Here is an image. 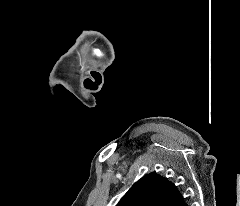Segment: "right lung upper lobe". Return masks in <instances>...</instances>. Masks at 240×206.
I'll return each instance as SVG.
<instances>
[{"label": "right lung upper lobe", "mask_w": 240, "mask_h": 206, "mask_svg": "<svg viewBox=\"0 0 240 206\" xmlns=\"http://www.w3.org/2000/svg\"><path fill=\"white\" fill-rule=\"evenodd\" d=\"M116 206H187L176 186L150 173L137 181Z\"/></svg>", "instance_id": "1"}]
</instances>
